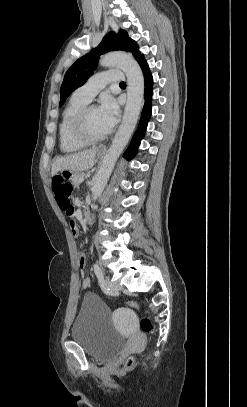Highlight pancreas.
<instances>
[{"mask_svg":"<svg viewBox=\"0 0 247 407\" xmlns=\"http://www.w3.org/2000/svg\"><path fill=\"white\" fill-rule=\"evenodd\" d=\"M87 175L85 173H79L75 176V178L73 179V183L75 186H79L82 181L84 180V178H86Z\"/></svg>","mask_w":247,"mask_h":407,"instance_id":"cf45deb5","label":"pancreas"}]
</instances>
